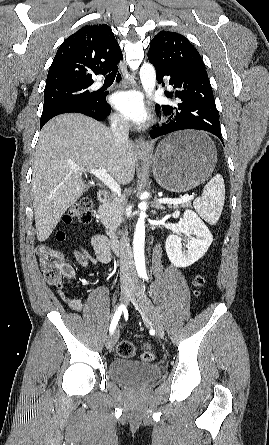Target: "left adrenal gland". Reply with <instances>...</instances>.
Listing matches in <instances>:
<instances>
[{"instance_id": "left-adrenal-gland-1", "label": "left adrenal gland", "mask_w": 269, "mask_h": 445, "mask_svg": "<svg viewBox=\"0 0 269 445\" xmlns=\"http://www.w3.org/2000/svg\"><path fill=\"white\" fill-rule=\"evenodd\" d=\"M153 207L156 208V209H161V210L164 209V206L162 204L158 203L156 199H155V202L153 204Z\"/></svg>"}]
</instances>
